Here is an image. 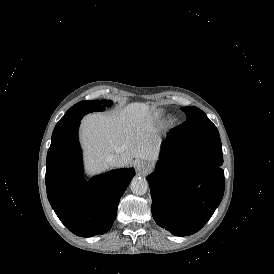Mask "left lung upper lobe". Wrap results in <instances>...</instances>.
<instances>
[{
    "label": "left lung upper lobe",
    "mask_w": 274,
    "mask_h": 274,
    "mask_svg": "<svg viewBox=\"0 0 274 274\" xmlns=\"http://www.w3.org/2000/svg\"><path fill=\"white\" fill-rule=\"evenodd\" d=\"M187 120L177 128L187 133L219 134L215 125L208 119L206 114L197 107H183Z\"/></svg>",
    "instance_id": "1"
}]
</instances>
